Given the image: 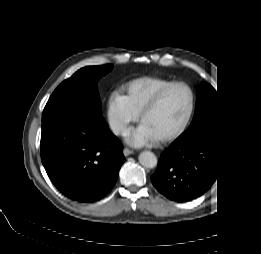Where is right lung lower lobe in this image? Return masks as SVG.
I'll return each mask as SVG.
<instances>
[{
	"instance_id": "right-lung-lower-lobe-1",
	"label": "right lung lower lobe",
	"mask_w": 261,
	"mask_h": 254,
	"mask_svg": "<svg viewBox=\"0 0 261 254\" xmlns=\"http://www.w3.org/2000/svg\"><path fill=\"white\" fill-rule=\"evenodd\" d=\"M103 118L75 106L45 108L41 160L53 184L79 202L103 198L115 185L125 157Z\"/></svg>"
}]
</instances>
